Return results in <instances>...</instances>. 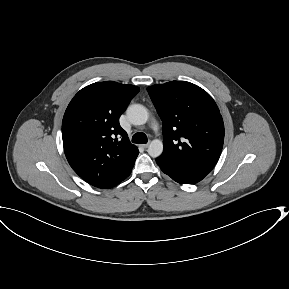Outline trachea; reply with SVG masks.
<instances>
[{"label": "trachea", "mask_w": 289, "mask_h": 289, "mask_svg": "<svg viewBox=\"0 0 289 289\" xmlns=\"http://www.w3.org/2000/svg\"><path fill=\"white\" fill-rule=\"evenodd\" d=\"M132 142L136 144H145L147 143V136L142 132L135 133L132 137Z\"/></svg>", "instance_id": "trachea-1"}]
</instances>
